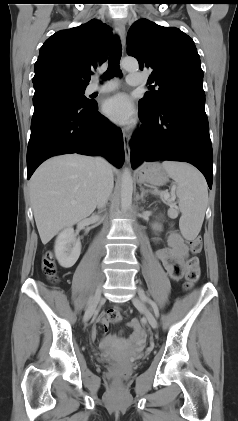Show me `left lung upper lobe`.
Segmentation results:
<instances>
[{
    "mask_svg": "<svg viewBox=\"0 0 238 421\" xmlns=\"http://www.w3.org/2000/svg\"><path fill=\"white\" fill-rule=\"evenodd\" d=\"M127 52L139 67L152 69L148 83L157 88L139 100V108L155 111L168 97L191 89L203 90V71L194 41L178 28L159 26L147 19L132 24Z\"/></svg>",
    "mask_w": 238,
    "mask_h": 421,
    "instance_id": "5c2ea615",
    "label": "left lung upper lobe"
}]
</instances>
